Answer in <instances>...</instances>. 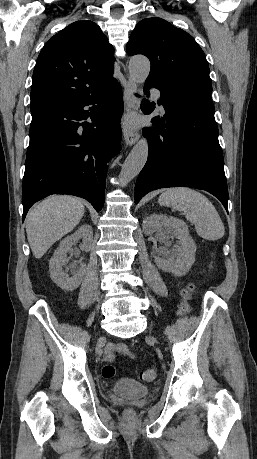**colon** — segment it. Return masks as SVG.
<instances>
[{
    "label": "colon",
    "instance_id": "1",
    "mask_svg": "<svg viewBox=\"0 0 257 459\" xmlns=\"http://www.w3.org/2000/svg\"><path fill=\"white\" fill-rule=\"evenodd\" d=\"M181 295H182V301H181L179 310H180V313L185 314L189 312L190 310L189 300L192 298V295H193V287L188 286L182 291ZM115 373H116V370L112 364H106L102 368V376L105 379L114 378ZM140 377L143 381L152 382L157 377V369L154 366L148 367L141 372ZM127 413L130 414V411H128Z\"/></svg>",
    "mask_w": 257,
    "mask_h": 459
}]
</instances>
